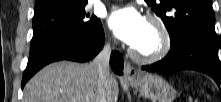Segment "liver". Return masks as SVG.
<instances>
[{"label":"liver","mask_w":221,"mask_h":102,"mask_svg":"<svg viewBox=\"0 0 221 102\" xmlns=\"http://www.w3.org/2000/svg\"><path fill=\"white\" fill-rule=\"evenodd\" d=\"M106 102H117L119 87L110 75ZM98 75L92 64L60 61L40 70L25 86L23 102H97Z\"/></svg>","instance_id":"obj_1"}]
</instances>
